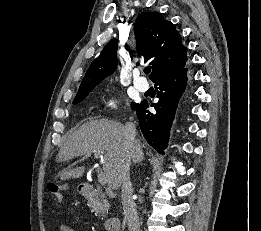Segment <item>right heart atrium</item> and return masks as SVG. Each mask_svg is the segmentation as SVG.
Returning <instances> with one entry per match:
<instances>
[{"label":"right heart atrium","mask_w":261,"mask_h":231,"mask_svg":"<svg viewBox=\"0 0 261 231\" xmlns=\"http://www.w3.org/2000/svg\"><path fill=\"white\" fill-rule=\"evenodd\" d=\"M100 105L105 111H114L119 106V101L114 95H106L101 99Z\"/></svg>","instance_id":"d8ad5b80"}]
</instances>
